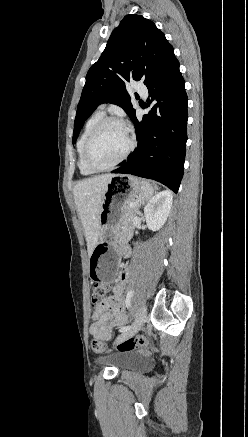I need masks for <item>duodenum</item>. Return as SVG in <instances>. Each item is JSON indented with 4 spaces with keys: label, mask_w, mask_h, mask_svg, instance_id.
<instances>
[{
    "label": "duodenum",
    "mask_w": 248,
    "mask_h": 437,
    "mask_svg": "<svg viewBox=\"0 0 248 437\" xmlns=\"http://www.w3.org/2000/svg\"><path fill=\"white\" fill-rule=\"evenodd\" d=\"M121 252H122V254H123L124 256H127V255L129 254V250H128V248H123V249L121 250Z\"/></svg>",
    "instance_id": "410a0bca"
}]
</instances>
